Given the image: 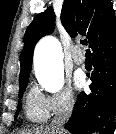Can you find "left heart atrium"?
Here are the masks:
<instances>
[{
    "label": "left heart atrium",
    "mask_w": 116,
    "mask_h": 134,
    "mask_svg": "<svg viewBox=\"0 0 116 134\" xmlns=\"http://www.w3.org/2000/svg\"><path fill=\"white\" fill-rule=\"evenodd\" d=\"M74 83H75V86L77 88L82 87L83 84H84V78H83V76L80 75V74L75 75V77H74Z\"/></svg>",
    "instance_id": "1"
}]
</instances>
